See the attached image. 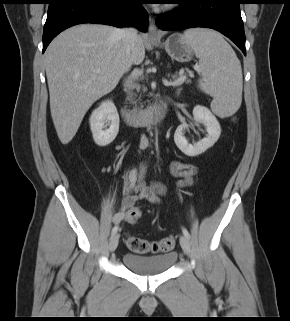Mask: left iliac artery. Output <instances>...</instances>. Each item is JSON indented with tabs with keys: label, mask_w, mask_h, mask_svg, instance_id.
<instances>
[{
	"label": "left iliac artery",
	"mask_w": 290,
	"mask_h": 321,
	"mask_svg": "<svg viewBox=\"0 0 290 321\" xmlns=\"http://www.w3.org/2000/svg\"><path fill=\"white\" fill-rule=\"evenodd\" d=\"M182 231H183V234L189 239V238H190V234H189V232L187 231V229L182 228Z\"/></svg>",
	"instance_id": "left-iliac-artery-1"
}]
</instances>
